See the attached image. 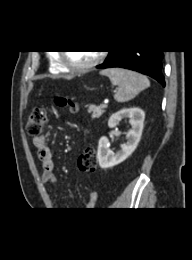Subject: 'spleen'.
Returning a JSON list of instances; mask_svg holds the SVG:
<instances>
[{
  "label": "spleen",
  "mask_w": 192,
  "mask_h": 260,
  "mask_svg": "<svg viewBox=\"0 0 192 260\" xmlns=\"http://www.w3.org/2000/svg\"><path fill=\"white\" fill-rule=\"evenodd\" d=\"M100 74L109 77L111 83L118 86L114 99L120 103L133 99L139 92L150 86L146 76L126 69L109 68L101 71Z\"/></svg>",
  "instance_id": "3e777b00"
}]
</instances>
